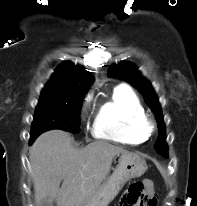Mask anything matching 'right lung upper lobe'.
<instances>
[{
    "instance_id": "right-lung-upper-lobe-1",
    "label": "right lung upper lobe",
    "mask_w": 197,
    "mask_h": 206,
    "mask_svg": "<svg viewBox=\"0 0 197 206\" xmlns=\"http://www.w3.org/2000/svg\"><path fill=\"white\" fill-rule=\"evenodd\" d=\"M94 77L83 67L71 62L61 64L42 92H62L85 94Z\"/></svg>"
}]
</instances>
